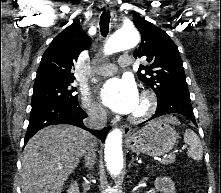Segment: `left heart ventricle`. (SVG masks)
Wrapping results in <instances>:
<instances>
[{
    "label": "left heart ventricle",
    "mask_w": 221,
    "mask_h": 193,
    "mask_svg": "<svg viewBox=\"0 0 221 193\" xmlns=\"http://www.w3.org/2000/svg\"><path fill=\"white\" fill-rule=\"evenodd\" d=\"M141 109H142V102H141V100H139V103H138L137 107L135 108V110L132 112V114L138 113Z\"/></svg>",
    "instance_id": "b2bd125f"
}]
</instances>
